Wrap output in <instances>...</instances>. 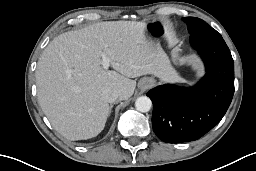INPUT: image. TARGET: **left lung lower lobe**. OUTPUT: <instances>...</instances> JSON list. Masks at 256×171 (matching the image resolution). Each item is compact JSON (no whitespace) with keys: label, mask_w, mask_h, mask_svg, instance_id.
Returning a JSON list of instances; mask_svg holds the SVG:
<instances>
[{"label":"left lung lower lobe","mask_w":256,"mask_h":171,"mask_svg":"<svg viewBox=\"0 0 256 171\" xmlns=\"http://www.w3.org/2000/svg\"><path fill=\"white\" fill-rule=\"evenodd\" d=\"M190 41L205 62V76L190 89L166 84L147 93L153 130L167 143L202 137L221 121L234 94V62L222 36L191 35Z\"/></svg>","instance_id":"0a47b994"}]
</instances>
